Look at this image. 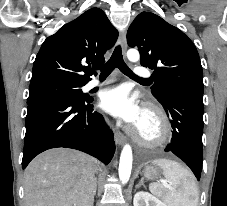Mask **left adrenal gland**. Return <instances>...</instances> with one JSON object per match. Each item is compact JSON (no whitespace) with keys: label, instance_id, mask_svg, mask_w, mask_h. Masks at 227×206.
Masks as SVG:
<instances>
[{"label":"left adrenal gland","instance_id":"1","mask_svg":"<svg viewBox=\"0 0 227 206\" xmlns=\"http://www.w3.org/2000/svg\"><path fill=\"white\" fill-rule=\"evenodd\" d=\"M141 185H142L143 187H145V185H144V183H143V179H141V180L139 181V183L135 186V188L137 189V188H139Z\"/></svg>","mask_w":227,"mask_h":206}]
</instances>
